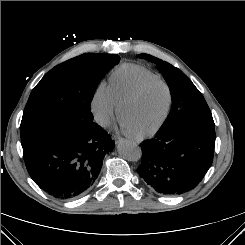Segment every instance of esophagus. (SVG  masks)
<instances>
[{"instance_id":"esophagus-1","label":"esophagus","mask_w":245,"mask_h":245,"mask_svg":"<svg viewBox=\"0 0 245 245\" xmlns=\"http://www.w3.org/2000/svg\"><path fill=\"white\" fill-rule=\"evenodd\" d=\"M123 140H124V138L119 136V135H115L114 136V141H115L116 144L120 143Z\"/></svg>"}]
</instances>
